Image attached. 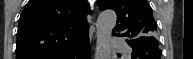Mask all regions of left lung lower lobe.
Here are the masks:
<instances>
[{"mask_svg":"<svg viewBox=\"0 0 193 59\" xmlns=\"http://www.w3.org/2000/svg\"><path fill=\"white\" fill-rule=\"evenodd\" d=\"M132 48V59H160L161 50L158 48V41H141L139 39L128 43Z\"/></svg>","mask_w":193,"mask_h":59,"instance_id":"0a47b994","label":"left lung lower lobe"}]
</instances>
